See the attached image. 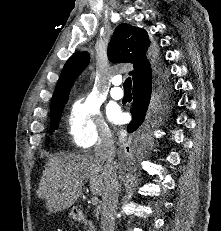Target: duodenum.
Returning <instances> with one entry per match:
<instances>
[{
  "label": "duodenum",
  "mask_w": 221,
  "mask_h": 231,
  "mask_svg": "<svg viewBox=\"0 0 221 231\" xmlns=\"http://www.w3.org/2000/svg\"><path fill=\"white\" fill-rule=\"evenodd\" d=\"M74 220L76 222H87L88 221V217L86 216V214L80 210V209H75L74 212Z\"/></svg>",
  "instance_id": "duodenum-1"
}]
</instances>
